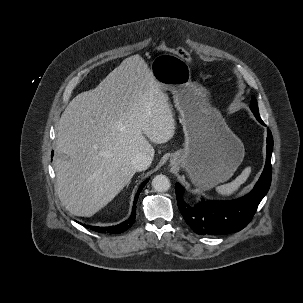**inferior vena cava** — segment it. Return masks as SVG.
Masks as SVG:
<instances>
[{
    "mask_svg": "<svg viewBox=\"0 0 303 303\" xmlns=\"http://www.w3.org/2000/svg\"><path fill=\"white\" fill-rule=\"evenodd\" d=\"M151 163L152 158L144 153H137L131 159V164L135 171L146 170Z\"/></svg>",
    "mask_w": 303,
    "mask_h": 303,
    "instance_id": "602c4592",
    "label": "inferior vena cava"
}]
</instances>
